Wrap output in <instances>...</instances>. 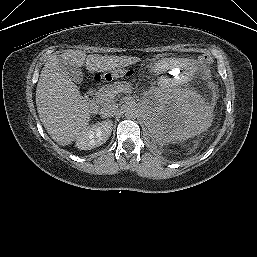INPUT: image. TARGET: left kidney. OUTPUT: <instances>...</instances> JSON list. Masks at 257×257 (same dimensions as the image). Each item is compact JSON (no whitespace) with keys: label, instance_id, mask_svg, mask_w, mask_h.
Returning a JSON list of instances; mask_svg holds the SVG:
<instances>
[{"label":"left kidney","instance_id":"obj_1","mask_svg":"<svg viewBox=\"0 0 257 257\" xmlns=\"http://www.w3.org/2000/svg\"><path fill=\"white\" fill-rule=\"evenodd\" d=\"M148 132L161 143L199 135L209 126L207 106L195 92L174 89L149 98L143 108Z\"/></svg>","mask_w":257,"mask_h":257}]
</instances>
